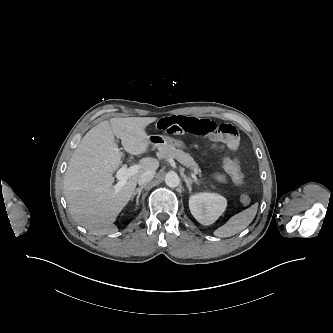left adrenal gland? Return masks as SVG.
<instances>
[{
    "label": "left adrenal gland",
    "mask_w": 333,
    "mask_h": 333,
    "mask_svg": "<svg viewBox=\"0 0 333 333\" xmlns=\"http://www.w3.org/2000/svg\"><path fill=\"white\" fill-rule=\"evenodd\" d=\"M184 181L186 182V185H187L190 193L192 191V184L193 183L199 184L198 181L193 180V179H191L190 177H187V176H184Z\"/></svg>",
    "instance_id": "1"
}]
</instances>
